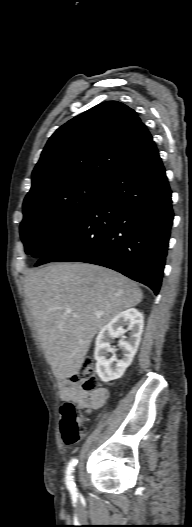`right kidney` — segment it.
<instances>
[{"label":"right kidney","instance_id":"1","mask_svg":"<svg viewBox=\"0 0 192 527\" xmlns=\"http://www.w3.org/2000/svg\"><path fill=\"white\" fill-rule=\"evenodd\" d=\"M127 326L130 336L125 340L123 327ZM144 317L137 309L131 308L119 313L109 323L101 328L95 342L94 358L96 360V372L103 382H109L122 377L125 370L131 365L137 352L141 334L143 332ZM115 337H121L119 348L122 350V358H107V353H114L110 341Z\"/></svg>","mask_w":192,"mask_h":527}]
</instances>
